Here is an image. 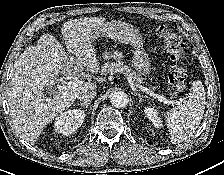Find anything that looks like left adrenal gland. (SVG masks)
I'll list each match as a JSON object with an SVG mask.
<instances>
[{"label": "left adrenal gland", "instance_id": "a2214340", "mask_svg": "<svg viewBox=\"0 0 224 175\" xmlns=\"http://www.w3.org/2000/svg\"><path fill=\"white\" fill-rule=\"evenodd\" d=\"M134 95H137V96H138L140 102H141L144 98H147V96L140 95L139 93H136V92H134Z\"/></svg>", "mask_w": 224, "mask_h": 175}]
</instances>
